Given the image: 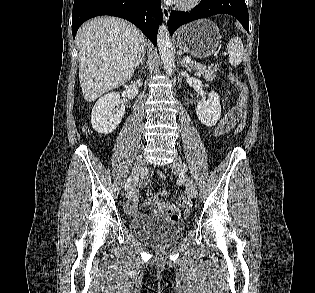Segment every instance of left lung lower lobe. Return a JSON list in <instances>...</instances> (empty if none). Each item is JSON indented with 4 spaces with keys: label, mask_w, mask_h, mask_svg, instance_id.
Returning a JSON list of instances; mask_svg holds the SVG:
<instances>
[{
    "label": "left lung lower lobe",
    "mask_w": 315,
    "mask_h": 293,
    "mask_svg": "<svg viewBox=\"0 0 315 293\" xmlns=\"http://www.w3.org/2000/svg\"><path fill=\"white\" fill-rule=\"evenodd\" d=\"M215 14L232 15L249 30L248 9L244 0H201V3L189 12L171 11L169 33L172 35L183 24Z\"/></svg>",
    "instance_id": "obj_1"
}]
</instances>
